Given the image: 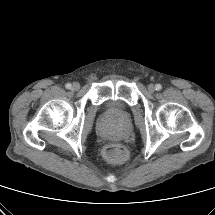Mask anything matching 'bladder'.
Wrapping results in <instances>:
<instances>
[{
    "instance_id": "obj_1",
    "label": "bladder",
    "mask_w": 215,
    "mask_h": 215,
    "mask_svg": "<svg viewBox=\"0 0 215 215\" xmlns=\"http://www.w3.org/2000/svg\"><path fill=\"white\" fill-rule=\"evenodd\" d=\"M105 107L108 111L114 112V113H120L123 110V106L116 101L106 102Z\"/></svg>"
}]
</instances>
